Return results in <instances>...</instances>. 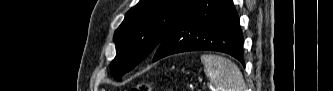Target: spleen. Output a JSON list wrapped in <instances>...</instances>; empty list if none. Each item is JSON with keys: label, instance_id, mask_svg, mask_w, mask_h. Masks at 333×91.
Segmentation results:
<instances>
[{"label": "spleen", "instance_id": "3e777b00", "mask_svg": "<svg viewBox=\"0 0 333 91\" xmlns=\"http://www.w3.org/2000/svg\"><path fill=\"white\" fill-rule=\"evenodd\" d=\"M204 72L213 84L214 91H245V82L238 66L226 57L203 54Z\"/></svg>", "mask_w": 333, "mask_h": 91}]
</instances>
